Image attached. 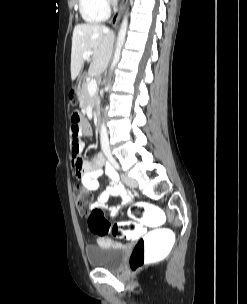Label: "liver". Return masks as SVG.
Here are the masks:
<instances>
[{"label": "liver", "instance_id": "obj_1", "mask_svg": "<svg viewBox=\"0 0 247 304\" xmlns=\"http://www.w3.org/2000/svg\"><path fill=\"white\" fill-rule=\"evenodd\" d=\"M115 34L100 24H78L73 30L71 49V79L79 75L83 64V54L92 52L88 74L101 75L108 67L113 52Z\"/></svg>", "mask_w": 247, "mask_h": 304}]
</instances>
